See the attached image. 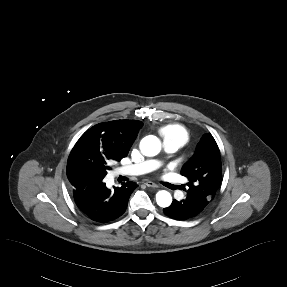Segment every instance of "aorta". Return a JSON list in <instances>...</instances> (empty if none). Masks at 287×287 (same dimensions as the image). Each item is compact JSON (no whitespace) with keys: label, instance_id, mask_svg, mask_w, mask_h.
Returning a JSON list of instances; mask_svg holds the SVG:
<instances>
[{"label":"aorta","instance_id":"aorta-1","mask_svg":"<svg viewBox=\"0 0 287 287\" xmlns=\"http://www.w3.org/2000/svg\"><path fill=\"white\" fill-rule=\"evenodd\" d=\"M140 150L145 156H155L161 150V142L156 136L148 135L141 140ZM156 202L160 207H168L172 203V196L166 190L158 191L156 194Z\"/></svg>","mask_w":287,"mask_h":287}]
</instances>
